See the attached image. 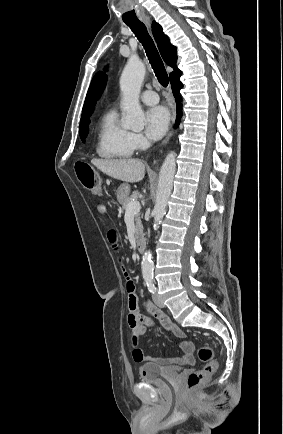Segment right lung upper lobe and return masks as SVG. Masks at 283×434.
Masks as SVG:
<instances>
[{"label": "right lung upper lobe", "mask_w": 283, "mask_h": 434, "mask_svg": "<svg viewBox=\"0 0 283 434\" xmlns=\"http://www.w3.org/2000/svg\"><path fill=\"white\" fill-rule=\"evenodd\" d=\"M152 33L165 63L174 69V71L170 73V79H172L179 73L178 68L176 67V47L170 43L169 38L162 31V27L155 21L152 22ZM106 80L107 76L103 72L97 73L93 78L82 109L80 124L90 122L89 117L92 114L96 100L100 97L105 87Z\"/></svg>", "instance_id": "cb5924a9"}]
</instances>
